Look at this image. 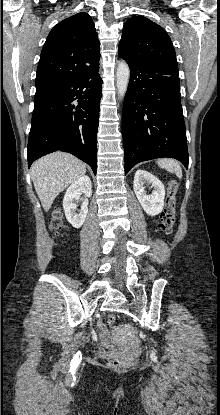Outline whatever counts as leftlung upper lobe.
<instances>
[{"mask_svg": "<svg viewBox=\"0 0 220 415\" xmlns=\"http://www.w3.org/2000/svg\"><path fill=\"white\" fill-rule=\"evenodd\" d=\"M118 55L129 66L178 76V64L170 37L161 26L141 15L129 18L124 24Z\"/></svg>", "mask_w": 220, "mask_h": 415, "instance_id": "left-lung-upper-lobe-1", "label": "left lung upper lobe"}]
</instances>
